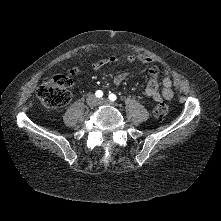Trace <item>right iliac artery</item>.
<instances>
[{
  "label": "right iliac artery",
  "mask_w": 221,
  "mask_h": 221,
  "mask_svg": "<svg viewBox=\"0 0 221 221\" xmlns=\"http://www.w3.org/2000/svg\"><path fill=\"white\" fill-rule=\"evenodd\" d=\"M95 95L97 98H101L103 96V92L101 90H97Z\"/></svg>",
  "instance_id": "82829eb1"
}]
</instances>
